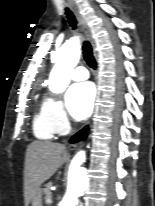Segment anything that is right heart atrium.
Instances as JSON below:
<instances>
[{"mask_svg":"<svg viewBox=\"0 0 155 206\" xmlns=\"http://www.w3.org/2000/svg\"><path fill=\"white\" fill-rule=\"evenodd\" d=\"M42 110L55 133L64 134L70 129V120L60 99L47 97Z\"/></svg>","mask_w":155,"mask_h":206,"instance_id":"d8ad5b80","label":"right heart atrium"}]
</instances>
